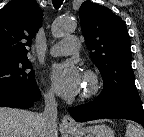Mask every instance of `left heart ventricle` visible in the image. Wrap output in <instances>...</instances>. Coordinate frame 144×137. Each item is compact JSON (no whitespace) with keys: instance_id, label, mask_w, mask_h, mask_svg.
<instances>
[{"instance_id":"obj_1","label":"left heart ventricle","mask_w":144,"mask_h":137,"mask_svg":"<svg viewBox=\"0 0 144 137\" xmlns=\"http://www.w3.org/2000/svg\"><path fill=\"white\" fill-rule=\"evenodd\" d=\"M85 86V81H83V87Z\"/></svg>"}]
</instances>
